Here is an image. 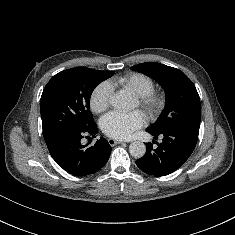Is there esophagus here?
Listing matches in <instances>:
<instances>
[{"mask_svg": "<svg viewBox=\"0 0 235 235\" xmlns=\"http://www.w3.org/2000/svg\"><path fill=\"white\" fill-rule=\"evenodd\" d=\"M108 143H109V145L114 146V145H117V144L122 143V141H120V140H115V139H113V138H109V139H108Z\"/></svg>", "mask_w": 235, "mask_h": 235, "instance_id": "obj_1", "label": "esophagus"}]
</instances>
